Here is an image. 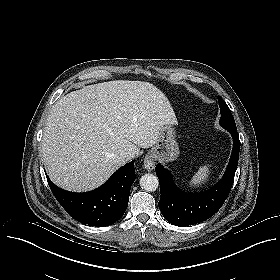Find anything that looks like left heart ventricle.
<instances>
[{"label": "left heart ventricle", "instance_id": "b2bd125f", "mask_svg": "<svg viewBox=\"0 0 280 280\" xmlns=\"http://www.w3.org/2000/svg\"><path fill=\"white\" fill-rule=\"evenodd\" d=\"M169 153H170V152H167V154L164 156L165 159L168 157V154H169Z\"/></svg>", "mask_w": 280, "mask_h": 280}]
</instances>
